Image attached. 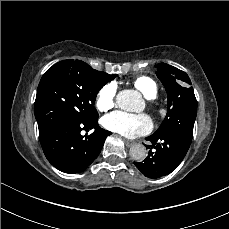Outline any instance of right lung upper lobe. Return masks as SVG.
<instances>
[{
  "mask_svg": "<svg viewBox=\"0 0 229 229\" xmlns=\"http://www.w3.org/2000/svg\"><path fill=\"white\" fill-rule=\"evenodd\" d=\"M76 61H78V62H80V63H84V62H82V61H80V60H76ZM84 64H86V63H84ZM86 65H88V64H86ZM88 66H89V65H88ZM89 67H90V66H89ZM90 68H91V67H90ZM91 70L94 72V74L96 75V77L104 83V85H105L107 82H110L111 80H113V79L117 76L116 74H115V75H109V74H107V73H105V72L96 71V70H94V69H92V68H91Z\"/></svg>",
  "mask_w": 229,
  "mask_h": 229,
  "instance_id": "obj_1",
  "label": "right lung upper lobe"
}]
</instances>
